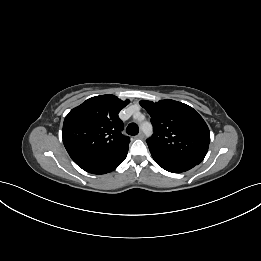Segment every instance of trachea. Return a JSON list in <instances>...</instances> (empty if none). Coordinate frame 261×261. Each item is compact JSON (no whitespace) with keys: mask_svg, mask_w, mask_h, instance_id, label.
<instances>
[{"mask_svg":"<svg viewBox=\"0 0 261 261\" xmlns=\"http://www.w3.org/2000/svg\"><path fill=\"white\" fill-rule=\"evenodd\" d=\"M126 132H127L129 135H137L138 132H139V128H138V126H137L135 123H130V124L127 126Z\"/></svg>","mask_w":261,"mask_h":261,"instance_id":"obj_1","label":"trachea"}]
</instances>
